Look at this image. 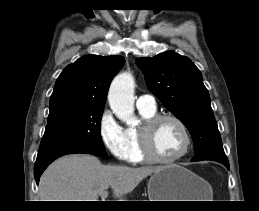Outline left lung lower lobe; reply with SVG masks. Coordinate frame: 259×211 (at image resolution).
<instances>
[{"instance_id": "left-lung-lower-lobe-1", "label": "left lung lower lobe", "mask_w": 259, "mask_h": 211, "mask_svg": "<svg viewBox=\"0 0 259 211\" xmlns=\"http://www.w3.org/2000/svg\"><path fill=\"white\" fill-rule=\"evenodd\" d=\"M222 164H224L226 167H227V169H229V163H228V161H223V162H221Z\"/></svg>"}]
</instances>
